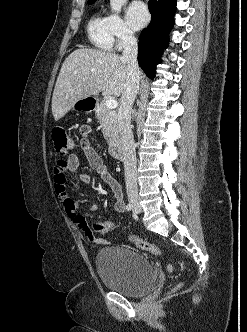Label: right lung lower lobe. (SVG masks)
<instances>
[{
    "label": "right lung lower lobe",
    "instance_id": "obj_1",
    "mask_svg": "<svg viewBox=\"0 0 247 332\" xmlns=\"http://www.w3.org/2000/svg\"><path fill=\"white\" fill-rule=\"evenodd\" d=\"M152 20L139 37L138 63L145 74L153 78L156 65L168 45V33L174 23L176 0H149Z\"/></svg>",
    "mask_w": 247,
    "mask_h": 332
}]
</instances>
